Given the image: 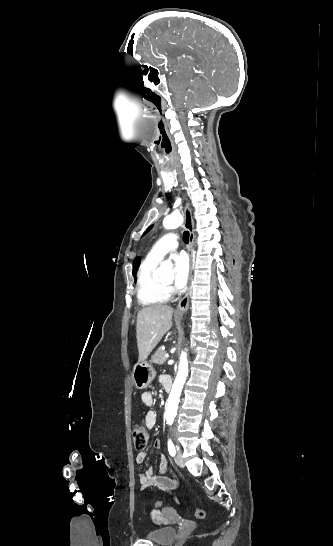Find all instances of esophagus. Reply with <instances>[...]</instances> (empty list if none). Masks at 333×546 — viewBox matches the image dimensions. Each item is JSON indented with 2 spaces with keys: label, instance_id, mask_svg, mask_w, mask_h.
<instances>
[{
  "label": "esophagus",
  "instance_id": "obj_1",
  "mask_svg": "<svg viewBox=\"0 0 333 546\" xmlns=\"http://www.w3.org/2000/svg\"><path fill=\"white\" fill-rule=\"evenodd\" d=\"M184 226L189 231L190 237H189V248H188V254L190 257V275L189 280L192 277V263H193V245H194V229H193V220L191 215V209L188 204H186L184 209ZM189 295H190V287L188 288L185 296L180 300V302L177 305V308L175 310L176 315H183L189 306Z\"/></svg>",
  "mask_w": 333,
  "mask_h": 546
}]
</instances>
